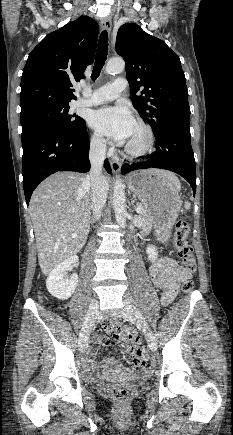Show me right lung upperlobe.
Listing matches in <instances>:
<instances>
[{"label": "right lung upper lobe", "mask_w": 233, "mask_h": 435, "mask_svg": "<svg viewBox=\"0 0 233 435\" xmlns=\"http://www.w3.org/2000/svg\"><path fill=\"white\" fill-rule=\"evenodd\" d=\"M98 24L81 16L48 34L29 54L21 77V115L68 105L73 84L94 60Z\"/></svg>", "instance_id": "right-lung-upper-lobe-1"}]
</instances>
